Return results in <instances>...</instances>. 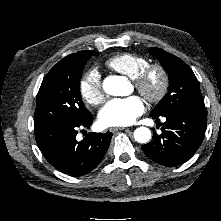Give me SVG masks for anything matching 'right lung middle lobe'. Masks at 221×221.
Segmentation results:
<instances>
[{"label":"right lung middle lobe","instance_id":"dd1d6c3e","mask_svg":"<svg viewBox=\"0 0 221 221\" xmlns=\"http://www.w3.org/2000/svg\"><path fill=\"white\" fill-rule=\"evenodd\" d=\"M95 51L77 58H64L45 76L37 94L34 114L35 130L59 123L83 120L90 112L85 108L79 89L83 68Z\"/></svg>","mask_w":221,"mask_h":221}]
</instances>
